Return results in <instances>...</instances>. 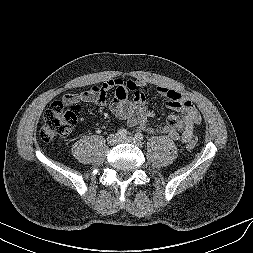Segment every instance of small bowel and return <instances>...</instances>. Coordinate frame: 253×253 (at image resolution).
I'll use <instances>...</instances> for the list:
<instances>
[{
    "label": "small bowel",
    "mask_w": 253,
    "mask_h": 253,
    "mask_svg": "<svg viewBox=\"0 0 253 253\" xmlns=\"http://www.w3.org/2000/svg\"><path fill=\"white\" fill-rule=\"evenodd\" d=\"M145 85L146 81L143 79L124 81L121 78H111L87 90L68 93L63 99L66 103L88 102L104 106L107 104L108 91L114 89L115 95L109 107L117 118L126 120L130 126L140 125L149 133H160L173 140L187 143L193 137L194 125L202 120L192 101L175 89L157 87V92L167 99V107L182 112V116L171 113L165 125L152 127L148 124V120L153 117V110L149 107L144 94L139 91Z\"/></svg>",
    "instance_id": "obj_1"
}]
</instances>
